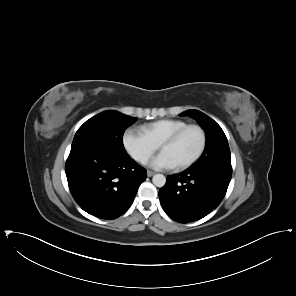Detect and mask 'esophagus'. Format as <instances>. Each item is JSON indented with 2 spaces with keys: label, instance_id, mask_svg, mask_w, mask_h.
Segmentation results:
<instances>
[{
  "label": "esophagus",
  "instance_id": "obj_1",
  "mask_svg": "<svg viewBox=\"0 0 296 296\" xmlns=\"http://www.w3.org/2000/svg\"><path fill=\"white\" fill-rule=\"evenodd\" d=\"M155 174V172L148 170L147 171V176L152 177Z\"/></svg>",
  "mask_w": 296,
  "mask_h": 296
}]
</instances>
